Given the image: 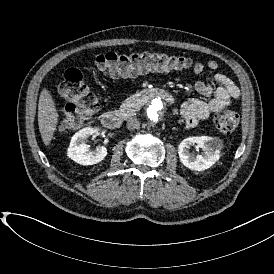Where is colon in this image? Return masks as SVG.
Masks as SVG:
<instances>
[{
    "label": "colon",
    "mask_w": 274,
    "mask_h": 274,
    "mask_svg": "<svg viewBox=\"0 0 274 274\" xmlns=\"http://www.w3.org/2000/svg\"><path fill=\"white\" fill-rule=\"evenodd\" d=\"M192 60L186 56L161 51L135 50L105 52L87 64V69H98L112 77L135 76L150 71H178L189 68ZM59 92L67 105L60 108L64 127L80 126L88 113L98 109V101L77 67H69L59 84ZM215 125L224 134L232 133L239 125L236 112L221 110L216 114Z\"/></svg>",
    "instance_id": "5ec220e1"
}]
</instances>
